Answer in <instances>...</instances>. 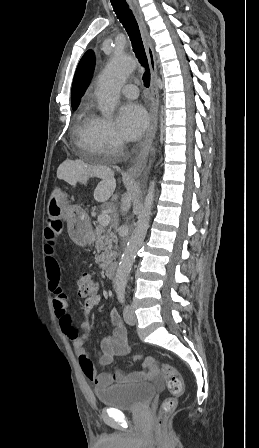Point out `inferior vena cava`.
I'll use <instances>...</instances> for the list:
<instances>
[{"mask_svg":"<svg viewBox=\"0 0 259 448\" xmlns=\"http://www.w3.org/2000/svg\"><path fill=\"white\" fill-rule=\"evenodd\" d=\"M130 200H131V198H129V196H127V194H126L125 198H123V200H122V208H121L122 212H127V210H129Z\"/></svg>","mask_w":259,"mask_h":448,"instance_id":"inferior-vena-cava-1","label":"inferior vena cava"}]
</instances>
